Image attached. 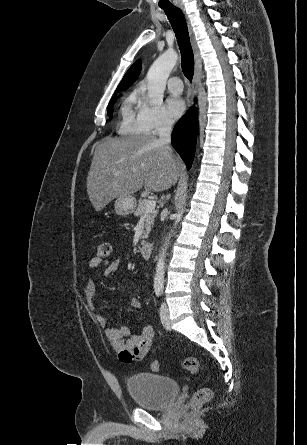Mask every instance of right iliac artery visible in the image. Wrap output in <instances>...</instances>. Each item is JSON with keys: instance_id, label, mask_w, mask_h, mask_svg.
I'll list each match as a JSON object with an SVG mask.
<instances>
[{"instance_id": "1", "label": "right iliac artery", "mask_w": 307, "mask_h": 445, "mask_svg": "<svg viewBox=\"0 0 307 445\" xmlns=\"http://www.w3.org/2000/svg\"><path fill=\"white\" fill-rule=\"evenodd\" d=\"M156 295L159 297V296L161 295V291H160V290H157V291H156Z\"/></svg>"}]
</instances>
